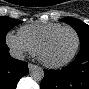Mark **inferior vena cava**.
<instances>
[{"label":"inferior vena cava","mask_w":89,"mask_h":89,"mask_svg":"<svg viewBox=\"0 0 89 89\" xmlns=\"http://www.w3.org/2000/svg\"><path fill=\"white\" fill-rule=\"evenodd\" d=\"M10 55L18 60H24V55L22 54V52L17 51V50H11L10 51Z\"/></svg>","instance_id":"602c4592"}]
</instances>
